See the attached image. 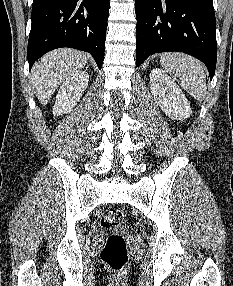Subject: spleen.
I'll return each mask as SVG.
<instances>
[{"instance_id":"3e777b00","label":"spleen","mask_w":233,"mask_h":286,"mask_svg":"<svg viewBox=\"0 0 233 286\" xmlns=\"http://www.w3.org/2000/svg\"><path fill=\"white\" fill-rule=\"evenodd\" d=\"M160 62L179 85L196 100L201 101L207 93L204 65L190 55L180 52L162 53Z\"/></svg>"}]
</instances>
